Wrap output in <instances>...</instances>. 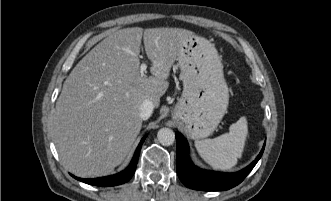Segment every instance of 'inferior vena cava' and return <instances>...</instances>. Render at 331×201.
Listing matches in <instances>:
<instances>
[{"label":"inferior vena cava","mask_w":331,"mask_h":201,"mask_svg":"<svg viewBox=\"0 0 331 201\" xmlns=\"http://www.w3.org/2000/svg\"><path fill=\"white\" fill-rule=\"evenodd\" d=\"M154 109L153 102L150 100H144L140 106V117L143 120H147Z\"/></svg>","instance_id":"602c4592"}]
</instances>
